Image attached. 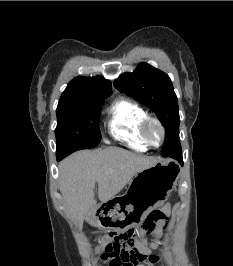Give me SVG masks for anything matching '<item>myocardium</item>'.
Wrapping results in <instances>:
<instances>
[{
  "instance_id": "myocardium-1",
  "label": "myocardium",
  "mask_w": 233,
  "mask_h": 266,
  "mask_svg": "<svg viewBox=\"0 0 233 266\" xmlns=\"http://www.w3.org/2000/svg\"><path fill=\"white\" fill-rule=\"evenodd\" d=\"M151 124L157 125L161 131V141L159 144H153L149 139L148 129ZM140 134L144 142L147 144V146L152 147V148L160 147L164 143L165 138H166V130H165L164 125L158 118L153 117V116H147L143 120L141 127H140Z\"/></svg>"
}]
</instances>
